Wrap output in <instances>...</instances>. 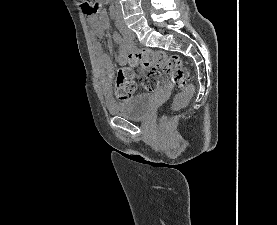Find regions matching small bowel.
<instances>
[{
  "label": "small bowel",
  "mask_w": 277,
  "mask_h": 225,
  "mask_svg": "<svg viewBox=\"0 0 277 225\" xmlns=\"http://www.w3.org/2000/svg\"><path fill=\"white\" fill-rule=\"evenodd\" d=\"M88 20L92 26V33L94 36L92 45L93 54L96 60V64L101 70L104 79L102 82V87L105 89L107 86V82L105 79L108 77V75L112 73L113 65L111 64L108 55L103 51L100 43L95 39V36L102 35L104 31L108 28V16L105 11H101L98 16L94 14L89 15ZM112 38L116 43L120 44L118 59L120 61H126L128 59L127 45L115 32L112 34ZM141 74L142 72H140L137 76H140Z\"/></svg>",
  "instance_id": "1"
}]
</instances>
